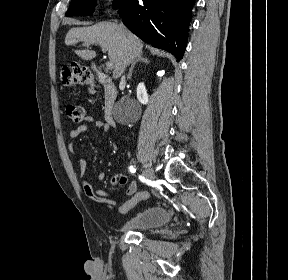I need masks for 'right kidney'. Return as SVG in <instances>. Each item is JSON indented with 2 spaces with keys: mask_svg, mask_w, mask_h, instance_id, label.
<instances>
[{
  "mask_svg": "<svg viewBox=\"0 0 288 280\" xmlns=\"http://www.w3.org/2000/svg\"><path fill=\"white\" fill-rule=\"evenodd\" d=\"M137 98L141 104L146 105L148 103L149 99L144 83H139L137 86Z\"/></svg>",
  "mask_w": 288,
  "mask_h": 280,
  "instance_id": "ca27d5eb",
  "label": "right kidney"
}]
</instances>
